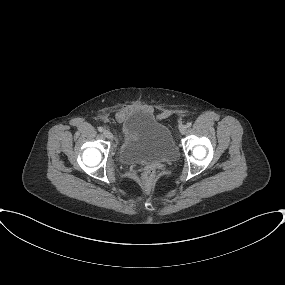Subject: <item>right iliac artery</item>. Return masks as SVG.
<instances>
[{"label":"right iliac artery","instance_id":"right-iliac-artery-1","mask_svg":"<svg viewBox=\"0 0 285 285\" xmlns=\"http://www.w3.org/2000/svg\"><path fill=\"white\" fill-rule=\"evenodd\" d=\"M98 131L103 132L104 131L103 127H98Z\"/></svg>","mask_w":285,"mask_h":285}]
</instances>
